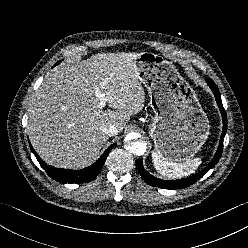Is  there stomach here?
<instances>
[{
	"label": "stomach",
	"instance_id": "0dacf381",
	"mask_svg": "<svg viewBox=\"0 0 248 248\" xmlns=\"http://www.w3.org/2000/svg\"><path fill=\"white\" fill-rule=\"evenodd\" d=\"M139 77L150 94L155 116L149 134L161 159L187 162L209 135V121L195 91L163 57L144 52L135 60Z\"/></svg>",
	"mask_w": 248,
	"mask_h": 248
}]
</instances>
